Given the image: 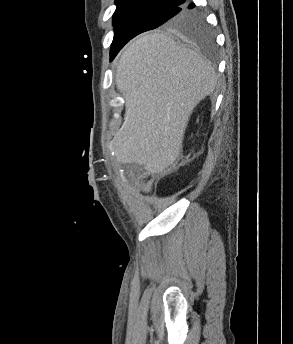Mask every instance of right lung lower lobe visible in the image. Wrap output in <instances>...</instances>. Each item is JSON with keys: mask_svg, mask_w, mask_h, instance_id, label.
I'll use <instances>...</instances> for the list:
<instances>
[{"mask_svg": "<svg viewBox=\"0 0 293 344\" xmlns=\"http://www.w3.org/2000/svg\"><path fill=\"white\" fill-rule=\"evenodd\" d=\"M194 7V4H192L188 9H186V8H182L184 11H190L189 9H192ZM111 59H113V58H111Z\"/></svg>", "mask_w": 293, "mask_h": 344, "instance_id": "1", "label": "right lung lower lobe"}]
</instances>
